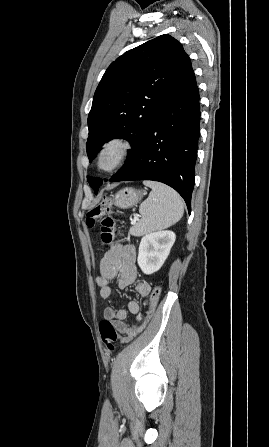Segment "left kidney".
Segmentation results:
<instances>
[{"instance_id":"obj_1","label":"left kidney","mask_w":269,"mask_h":447,"mask_svg":"<svg viewBox=\"0 0 269 447\" xmlns=\"http://www.w3.org/2000/svg\"><path fill=\"white\" fill-rule=\"evenodd\" d=\"M176 239L174 231H154L147 233L140 241L138 251V265L143 273H154L163 265Z\"/></svg>"}]
</instances>
